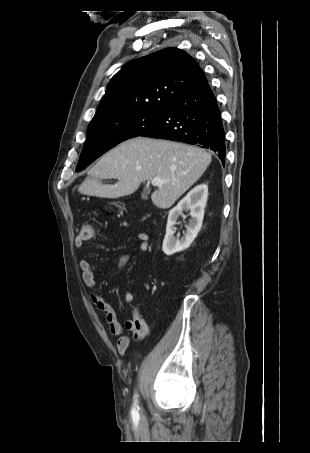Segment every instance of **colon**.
<instances>
[{"instance_id":"1","label":"colon","mask_w":310,"mask_h":453,"mask_svg":"<svg viewBox=\"0 0 310 453\" xmlns=\"http://www.w3.org/2000/svg\"><path fill=\"white\" fill-rule=\"evenodd\" d=\"M95 233H96V228L93 224L88 223L82 227L81 234L84 238H90V237L94 236Z\"/></svg>"}]
</instances>
